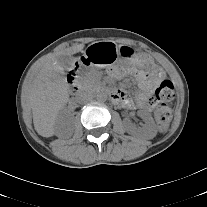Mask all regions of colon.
<instances>
[{
  "mask_svg": "<svg viewBox=\"0 0 207 207\" xmlns=\"http://www.w3.org/2000/svg\"><path fill=\"white\" fill-rule=\"evenodd\" d=\"M141 67L146 72L154 73L158 70V63L151 57H146L141 62ZM174 85L170 80H163L155 93V100L158 106L155 110V120L160 132H166L172 120V111L166 102L174 98Z\"/></svg>",
  "mask_w": 207,
  "mask_h": 207,
  "instance_id": "1",
  "label": "colon"
}]
</instances>
